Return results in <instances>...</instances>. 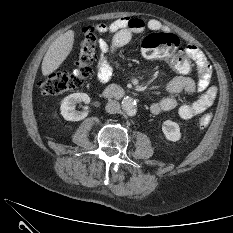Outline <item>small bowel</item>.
Listing matches in <instances>:
<instances>
[{
	"label": "small bowel",
	"mask_w": 233,
	"mask_h": 233,
	"mask_svg": "<svg viewBox=\"0 0 233 233\" xmlns=\"http://www.w3.org/2000/svg\"><path fill=\"white\" fill-rule=\"evenodd\" d=\"M95 28L100 32L112 34L110 42L103 39L99 41L100 55L96 63L97 80L100 84H106L112 76L114 53L128 44L134 35L146 29L162 30L164 26L156 19L145 22L142 19L127 16L118 18L108 25L96 24ZM184 51L196 68V79L187 75L177 76L165 85V91L171 95L180 92L201 93V95L192 103H180L173 96L164 97L150 105V111L153 114L176 110L182 119H191L211 107L216 99L217 88L210 85L211 66L207 57L194 45H188Z\"/></svg>",
	"instance_id": "small-bowel-1"
}]
</instances>
